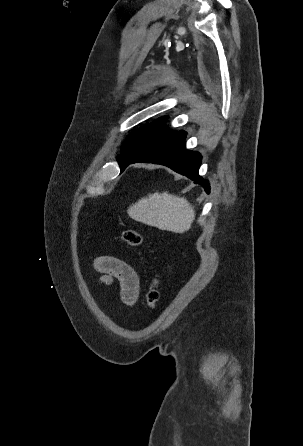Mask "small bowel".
I'll list each match as a JSON object with an SVG mask.
<instances>
[{
	"label": "small bowel",
	"mask_w": 303,
	"mask_h": 446,
	"mask_svg": "<svg viewBox=\"0 0 303 446\" xmlns=\"http://www.w3.org/2000/svg\"><path fill=\"white\" fill-rule=\"evenodd\" d=\"M95 269L101 274L103 283L117 281L120 296L127 305H132L139 295V277L136 271L125 261L113 256H100L94 262Z\"/></svg>",
	"instance_id": "small-bowel-1"
}]
</instances>
